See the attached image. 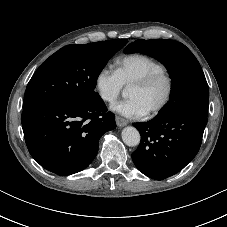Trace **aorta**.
I'll return each instance as SVG.
<instances>
[{
    "label": "aorta",
    "mask_w": 227,
    "mask_h": 227,
    "mask_svg": "<svg viewBox=\"0 0 227 227\" xmlns=\"http://www.w3.org/2000/svg\"><path fill=\"white\" fill-rule=\"evenodd\" d=\"M122 140L127 146H137L140 143L139 131L132 126L125 127L122 130Z\"/></svg>",
    "instance_id": "1"
}]
</instances>
